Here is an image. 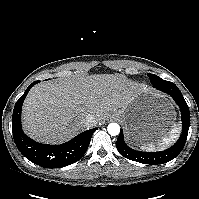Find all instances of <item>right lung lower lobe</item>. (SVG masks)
<instances>
[{
    "label": "right lung lower lobe",
    "mask_w": 199,
    "mask_h": 199,
    "mask_svg": "<svg viewBox=\"0 0 199 199\" xmlns=\"http://www.w3.org/2000/svg\"><path fill=\"white\" fill-rule=\"evenodd\" d=\"M33 82L16 102L12 115V132L19 151L31 162L47 168H61L77 162L85 154L92 134L97 128L87 130L60 145H46L33 141L21 128V108Z\"/></svg>",
    "instance_id": "1"
}]
</instances>
